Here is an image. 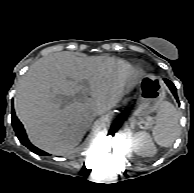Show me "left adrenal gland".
I'll list each match as a JSON object with an SVG mask.
<instances>
[{
  "label": "left adrenal gland",
  "instance_id": "1",
  "mask_svg": "<svg viewBox=\"0 0 194 193\" xmlns=\"http://www.w3.org/2000/svg\"><path fill=\"white\" fill-rule=\"evenodd\" d=\"M136 120L134 118H130V126L134 128V126L137 124Z\"/></svg>",
  "mask_w": 194,
  "mask_h": 193
}]
</instances>
